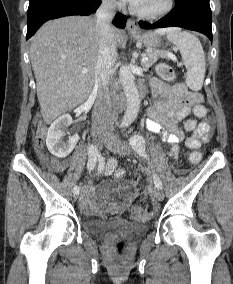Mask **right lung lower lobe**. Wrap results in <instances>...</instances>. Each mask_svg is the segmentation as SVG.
<instances>
[{
	"instance_id": "98d812e1",
	"label": "right lung lower lobe",
	"mask_w": 233,
	"mask_h": 284,
	"mask_svg": "<svg viewBox=\"0 0 233 284\" xmlns=\"http://www.w3.org/2000/svg\"><path fill=\"white\" fill-rule=\"evenodd\" d=\"M101 4L100 0H30L27 11V35L29 39L48 20L70 15H90ZM127 17L117 13L113 24L125 28Z\"/></svg>"
}]
</instances>
